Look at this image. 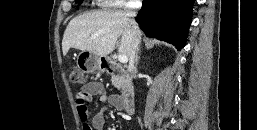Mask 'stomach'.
<instances>
[{
    "mask_svg": "<svg viewBox=\"0 0 257 130\" xmlns=\"http://www.w3.org/2000/svg\"><path fill=\"white\" fill-rule=\"evenodd\" d=\"M106 60V57L97 56L89 51H82L78 55L79 65L87 73L104 70Z\"/></svg>",
    "mask_w": 257,
    "mask_h": 130,
    "instance_id": "1",
    "label": "stomach"
}]
</instances>
